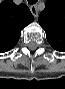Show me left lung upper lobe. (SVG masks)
<instances>
[{"label":"left lung upper lobe","mask_w":65,"mask_h":89,"mask_svg":"<svg viewBox=\"0 0 65 89\" xmlns=\"http://www.w3.org/2000/svg\"><path fill=\"white\" fill-rule=\"evenodd\" d=\"M39 23L46 32L49 44L65 51V0H47L39 15Z\"/></svg>","instance_id":"left-lung-upper-lobe-1"}]
</instances>
